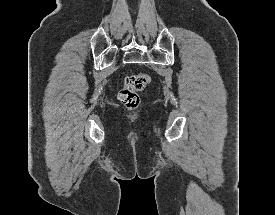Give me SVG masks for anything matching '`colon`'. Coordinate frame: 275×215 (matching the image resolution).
<instances>
[{
    "instance_id": "5ec220e1",
    "label": "colon",
    "mask_w": 275,
    "mask_h": 215,
    "mask_svg": "<svg viewBox=\"0 0 275 215\" xmlns=\"http://www.w3.org/2000/svg\"><path fill=\"white\" fill-rule=\"evenodd\" d=\"M149 83L150 77L145 73L128 76L119 91V100L127 109H136L141 101L139 92L145 89Z\"/></svg>"
}]
</instances>
